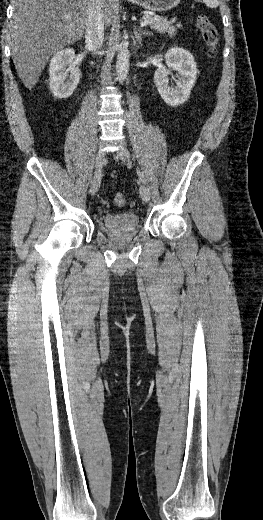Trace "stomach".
<instances>
[{"label":"stomach","mask_w":263,"mask_h":520,"mask_svg":"<svg viewBox=\"0 0 263 520\" xmlns=\"http://www.w3.org/2000/svg\"><path fill=\"white\" fill-rule=\"evenodd\" d=\"M130 3L139 5L146 10L154 12L169 11L176 7L181 0H128Z\"/></svg>","instance_id":"0dacf381"}]
</instances>
